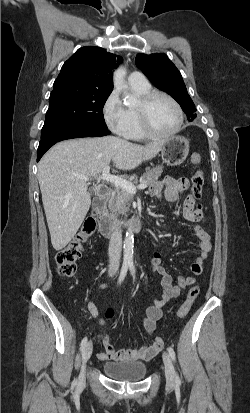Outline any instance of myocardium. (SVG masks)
<instances>
[{
  "label": "myocardium",
  "instance_id": "myocardium-1",
  "mask_svg": "<svg viewBox=\"0 0 250 413\" xmlns=\"http://www.w3.org/2000/svg\"><path fill=\"white\" fill-rule=\"evenodd\" d=\"M164 97L169 100L177 110L178 123L176 127L168 133H159L154 130L150 121V107L153 100L158 97ZM137 112L140 120V125L146 137L152 139H168L178 134L184 123V112L178 101L170 94L160 90H150L141 97L140 103L137 107Z\"/></svg>",
  "mask_w": 250,
  "mask_h": 413
}]
</instances>
